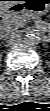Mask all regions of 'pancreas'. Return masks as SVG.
I'll list each match as a JSON object with an SVG mask.
<instances>
[{
	"label": "pancreas",
	"instance_id": "cf45deb5",
	"mask_svg": "<svg viewBox=\"0 0 50 111\" xmlns=\"http://www.w3.org/2000/svg\"><path fill=\"white\" fill-rule=\"evenodd\" d=\"M31 19H33L38 29L40 30L44 29V21H42L38 16H36L33 13L7 17L3 20V28L13 29L18 27H23L25 23Z\"/></svg>",
	"mask_w": 50,
	"mask_h": 111
}]
</instances>
